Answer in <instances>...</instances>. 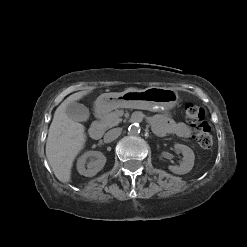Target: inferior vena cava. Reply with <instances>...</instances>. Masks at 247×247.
Here are the masks:
<instances>
[{
    "label": "inferior vena cava",
    "instance_id": "602c4592",
    "mask_svg": "<svg viewBox=\"0 0 247 247\" xmlns=\"http://www.w3.org/2000/svg\"><path fill=\"white\" fill-rule=\"evenodd\" d=\"M121 132H122V128L111 129L105 134L104 139L106 142H111L117 139L120 136Z\"/></svg>",
    "mask_w": 247,
    "mask_h": 247
}]
</instances>
